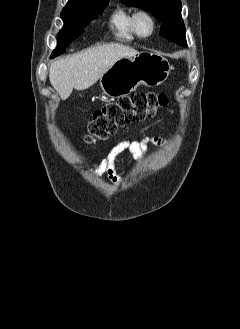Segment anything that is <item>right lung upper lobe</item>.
Returning <instances> with one entry per match:
<instances>
[{
  "instance_id": "right-lung-upper-lobe-1",
  "label": "right lung upper lobe",
  "mask_w": 240,
  "mask_h": 329,
  "mask_svg": "<svg viewBox=\"0 0 240 329\" xmlns=\"http://www.w3.org/2000/svg\"><path fill=\"white\" fill-rule=\"evenodd\" d=\"M101 0H69L65 7L90 5Z\"/></svg>"
}]
</instances>
